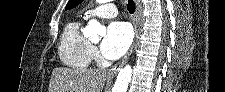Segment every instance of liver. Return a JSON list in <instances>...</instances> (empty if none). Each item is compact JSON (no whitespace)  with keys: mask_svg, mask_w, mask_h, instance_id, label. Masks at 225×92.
Here are the masks:
<instances>
[{"mask_svg":"<svg viewBox=\"0 0 225 92\" xmlns=\"http://www.w3.org/2000/svg\"><path fill=\"white\" fill-rule=\"evenodd\" d=\"M106 78L105 70L57 67L52 71L49 92H102Z\"/></svg>","mask_w":225,"mask_h":92,"instance_id":"liver-1","label":"liver"}]
</instances>
